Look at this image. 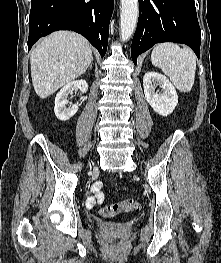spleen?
Returning a JSON list of instances; mask_svg holds the SVG:
<instances>
[{"label":"spleen","mask_w":221,"mask_h":263,"mask_svg":"<svg viewBox=\"0 0 221 263\" xmlns=\"http://www.w3.org/2000/svg\"><path fill=\"white\" fill-rule=\"evenodd\" d=\"M151 61L169 77L179 91L186 93L192 89L196 56L189 47L180 48L174 43H160L153 48Z\"/></svg>","instance_id":"obj_1"}]
</instances>
